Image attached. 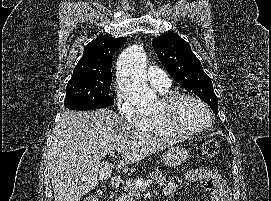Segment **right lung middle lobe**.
I'll return each instance as SVG.
<instances>
[{"label":"right lung middle lobe","mask_w":271,"mask_h":201,"mask_svg":"<svg viewBox=\"0 0 271 201\" xmlns=\"http://www.w3.org/2000/svg\"><path fill=\"white\" fill-rule=\"evenodd\" d=\"M112 74H77L67 84L64 106L70 110H93L110 106Z\"/></svg>","instance_id":"right-lung-middle-lobe-1"}]
</instances>
